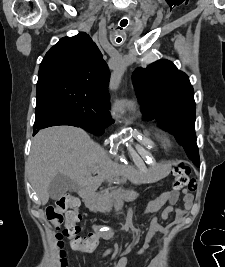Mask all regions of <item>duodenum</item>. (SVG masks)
<instances>
[{
	"label": "duodenum",
	"instance_id": "duodenum-1",
	"mask_svg": "<svg viewBox=\"0 0 225 267\" xmlns=\"http://www.w3.org/2000/svg\"><path fill=\"white\" fill-rule=\"evenodd\" d=\"M87 200H86V204L88 207L92 206V195L91 194H86Z\"/></svg>",
	"mask_w": 225,
	"mask_h": 267
}]
</instances>
